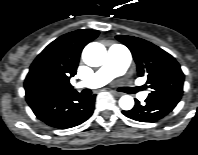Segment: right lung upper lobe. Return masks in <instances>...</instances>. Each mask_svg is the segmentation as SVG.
Here are the masks:
<instances>
[{"instance_id": "1", "label": "right lung upper lobe", "mask_w": 198, "mask_h": 155, "mask_svg": "<svg viewBox=\"0 0 198 155\" xmlns=\"http://www.w3.org/2000/svg\"><path fill=\"white\" fill-rule=\"evenodd\" d=\"M98 34V31L89 29L67 33L37 56L24 82L29 105L75 92L70 78L77 72L82 49Z\"/></svg>"}]
</instances>
